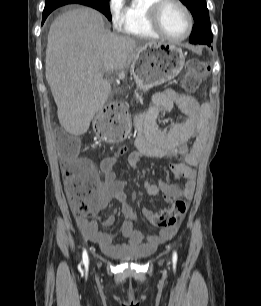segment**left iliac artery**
<instances>
[{
    "label": "left iliac artery",
    "mask_w": 261,
    "mask_h": 306,
    "mask_svg": "<svg viewBox=\"0 0 261 306\" xmlns=\"http://www.w3.org/2000/svg\"><path fill=\"white\" fill-rule=\"evenodd\" d=\"M172 260H173V263H176V261H177V253L176 252L173 253Z\"/></svg>",
    "instance_id": "left-iliac-artery-1"
}]
</instances>
